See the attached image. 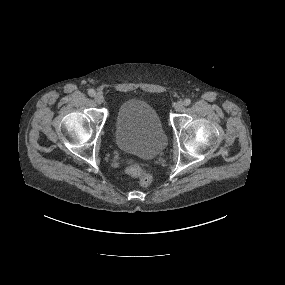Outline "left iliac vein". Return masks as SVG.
<instances>
[{
    "mask_svg": "<svg viewBox=\"0 0 285 285\" xmlns=\"http://www.w3.org/2000/svg\"><path fill=\"white\" fill-rule=\"evenodd\" d=\"M183 108H184V104L181 101L177 102L174 106V109L176 112L182 111Z\"/></svg>",
    "mask_w": 285,
    "mask_h": 285,
    "instance_id": "4c4485c4",
    "label": "left iliac vein"
}]
</instances>
